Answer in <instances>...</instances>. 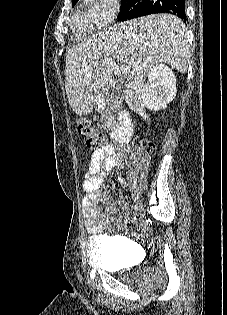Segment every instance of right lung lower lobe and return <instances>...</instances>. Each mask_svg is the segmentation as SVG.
Segmentation results:
<instances>
[{
  "instance_id": "1",
  "label": "right lung lower lobe",
  "mask_w": 227,
  "mask_h": 315,
  "mask_svg": "<svg viewBox=\"0 0 227 315\" xmlns=\"http://www.w3.org/2000/svg\"><path fill=\"white\" fill-rule=\"evenodd\" d=\"M155 13H170L186 21L185 0H127L121 2L118 15L120 21H125Z\"/></svg>"
}]
</instances>
